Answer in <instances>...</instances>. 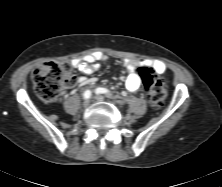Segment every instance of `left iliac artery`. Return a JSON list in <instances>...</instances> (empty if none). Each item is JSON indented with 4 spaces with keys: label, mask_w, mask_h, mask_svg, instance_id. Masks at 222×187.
Listing matches in <instances>:
<instances>
[{
    "label": "left iliac artery",
    "mask_w": 222,
    "mask_h": 187,
    "mask_svg": "<svg viewBox=\"0 0 222 187\" xmlns=\"http://www.w3.org/2000/svg\"><path fill=\"white\" fill-rule=\"evenodd\" d=\"M96 93H102V94H107L108 97H111V94L109 92V90H107L106 88H98L96 89Z\"/></svg>",
    "instance_id": "left-iliac-artery-1"
}]
</instances>
